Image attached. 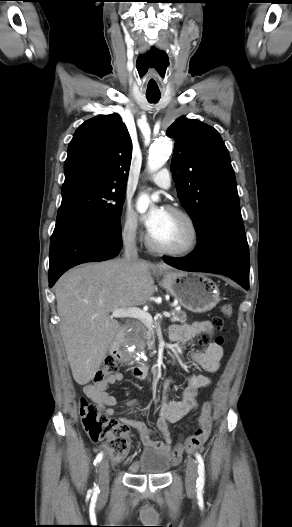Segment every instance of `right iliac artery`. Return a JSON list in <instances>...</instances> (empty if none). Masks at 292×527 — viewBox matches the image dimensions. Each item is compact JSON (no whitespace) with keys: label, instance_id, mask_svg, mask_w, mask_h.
<instances>
[{"label":"right iliac artery","instance_id":"right-iliac-artery-1","mask_svg":"<svg viewBox=\"0 0 292 527\" xmlns=\"http://www.w3.org/2000/svg\"><path fill=\"white\" fill-rule=\"evenodd\" d=\"M102 458H103V453L100 452V453L96 456V459L94 460V465H98V464L101 462ZM98 490H99V488H98L97 486H95L94 491H95V492H98Z\"/></svg>","mask_w":292,"mask_h":527}]
</instances>
